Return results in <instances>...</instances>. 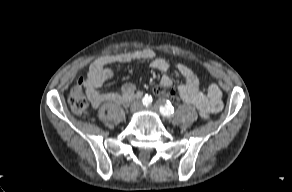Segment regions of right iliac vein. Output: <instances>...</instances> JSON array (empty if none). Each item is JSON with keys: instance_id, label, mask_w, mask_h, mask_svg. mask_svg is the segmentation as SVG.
<instances>
[{"instance_id": "63e3f726", "label": "right iliac vein", "mask_w": 292, "mask_h": 192, "mask_svg": "<svg viewBox=\"0 0 292 192\" xmlns=\"http://www.w3.org/2000/svg\"><path fill=\"white\" fill-rule=\"evenodd\" d=\"M141 108H142V105L140 102H134L130 107V111H131V113H136V112L140 111Z\"/></svg>"}]
</instances>
